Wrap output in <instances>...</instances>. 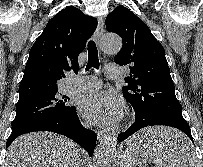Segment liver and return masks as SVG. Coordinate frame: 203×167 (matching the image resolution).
Here are the masks:
<instances>
[{
  "mask_svg": "<svg viewBox=\"0 0 203 167\" xmlns=\"http://www.w3.org/2000/svg\"><path fill=\"white\" fill-rule=\"evenodd\" d=\"M161 132L174 138L183 137L173 129H148V133L131 137L129 143H140ZM81 150L72 140L48 132H33L18 137L8 148L2 167H81Z\"/></svg>",
  "mask_w": 203,
  "mask_h": 167,
  "instance_id": "1",
  "label": "liver"
}]
</instances>
